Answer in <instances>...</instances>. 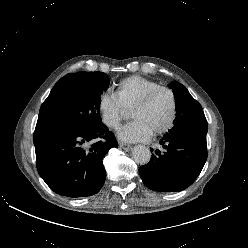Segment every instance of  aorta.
Masks as SVG:
<instances>
[{
    "instance_id": "obj_1",
    "label": "aorta",
    "mask_w": 248,
    "mask_h": 248,
    "mask_svg": "<svg viewBox=\"0 0 248 248\" xmlns=\"http://www.w3.org/2000/svg\"><path fill=\"white\" fill-rule=\"evenodd\" d=\"M132 158L137 164L145 165L150 161L151 152L144 145H136L132 150Z\"/></svg>"
}]
</instances>
